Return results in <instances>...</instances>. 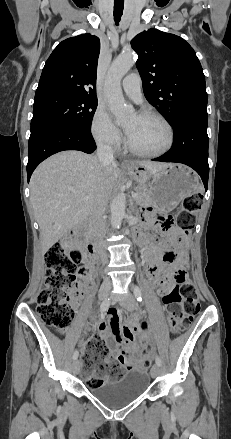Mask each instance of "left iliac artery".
<instances>
[{"mask_svg":"<svg viewBox=\"0 0 231 439\" xmlns=\"http://www.w3.org/2000/svg\"><path fill=\"white\" fill-rule=\"evenodd\" d=\"M134 295H135V298L137 299V301H139V302L142 301V293H141V290L138 286L134 287ZM155 361H156V364H158L159 366L161 365V359L159 356H156Z\"/></svg>","mask_w":231,"mask_h":439,"instance_id":"obj_1","label":"left iliac artery"}]
</instances>
